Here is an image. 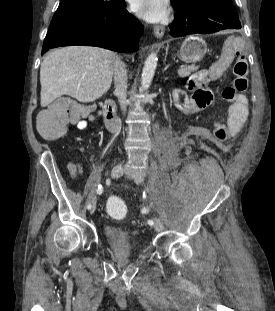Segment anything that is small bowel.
I'll return each instance as SVG.
<instances>
[{
	"label": "small bowel",
	"instance_id": "obj_1",
	"mask_svg": "<svg viewBox=\"0 0 275 311\" xmlns=\"http://www.w3.org/2000/svg\"><path fill=\"white\" fill-rule=\"evenodd\" d=\"M240 38H229L220 60H212L209 69H199L198 73H192L191 79L187 80V93H191L189 98L182 89H175L173 97L178 106L187 113L200 112L204 108H210L213 103V93L211 91L212 80H223L224 72H228L229 67L234 66L233 57H247V50L240 46ZM192 99H195L193 101ZM228 121L222 122V115L217 112H210L208 120L210 128L213 129L211 134L212 143H230V139H235V133L243 132V123L247 118L248 100L245 94L238 93L236 97L229 101ZM101 112L88 114L85 118L76 123L79 130H86L90 123L95 122ZM67 166L71 169V175L77 179L79 171H83V164H75L73 160L67 161Z\"/></svg>",
	"mask_w": 275,
	"mask_h": 311
}]
</instances>
